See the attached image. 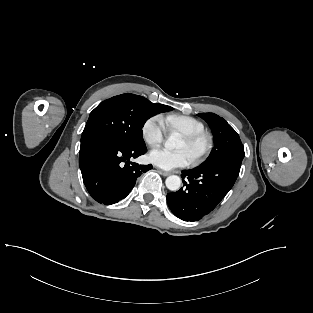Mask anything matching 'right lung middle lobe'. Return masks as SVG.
Returning <instances> with one entry per match:
<instances>
[{"instance_id": "right-lung-middle-lobe-1", "label": "right lung middle lobe", "mask_w": 313, "mask_h": 313, "mask_svg": "<svg viewBox=\"0 0 313 313\" xmlns=\"http://www.w3.org/2000/svg\"><path fill=\"white\" fill-rule=\"evenodd\" d=\"M170 106L155 104L134 94H122L101 102L91 113L81 141L94 135H108L130 145L144 144L142 127L152 116L170 111Z\"/></svg>"}]
</instances>
